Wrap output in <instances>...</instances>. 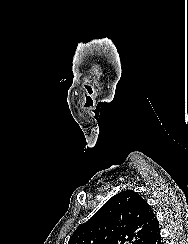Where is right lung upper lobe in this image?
<instances>
[{"label":"right lung upper lobe","instance_id":"1","mask_svg":"<svg viewBox=\"0 0 188 244\" xmlns=\"http://www.w3.org/2000/svg\"><path fill=\"white\" fill-rule=\"evenodd\" d=\"M159 222L133 190L110 198L71 236L68 244H146Z\"/></svg>","mask_w":188,"mask_h":244}]
</instances>
